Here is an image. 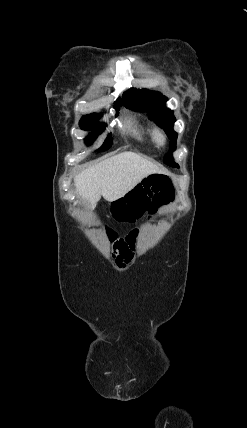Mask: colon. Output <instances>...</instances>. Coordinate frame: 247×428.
I'll return each mask as SVG.
<instances>
[{
    "label": "colon",
    "instance_id": "colon-1",
    "mask_svg": "<svg viewBox=\"0 0 247 428\" xmlns=\"http://www.w3.org/2000/svg\"><path fill=\"white\" fill-rule=\"evenodd\" d=\"M173 198V187L170 179L163 175H151L132 189L127 196L118 194L116 199H110L106 206L108 212L107 228L118 232H125L137 221H141L147 213L156 215L162 204L170 202ZM108 230L106 237L115 239L117 232ZM135 233H131L126 239H120L114 243L115 253L128 252L134 243ZM111 243L110 241L108 242Z\"/></svg>",
    "mask_w": 247,
    "mask_h": 428
}]
</instances>
